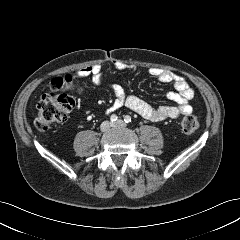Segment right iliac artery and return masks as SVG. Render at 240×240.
Wrapping results in <instances>:
<instances>
[{
	"label": "right iliac artery",
	"mask_w": 240,
	"mask_h": 240,
	"mask_svg": "<svg viewBox=\"0 0 240 240\" xmlns=\"http://www.w3.org/2000/svg\"><path fill=\"white\" fill-rule=\"evenodd\" d=\"M111 122H115L117 120V116L115 114L110 117Z\"/></svg>",
	"instance_id": "82829eb1"
}]
</instances>
